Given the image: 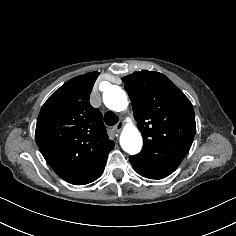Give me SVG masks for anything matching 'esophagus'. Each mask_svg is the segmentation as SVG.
Masks as SVG:
<instances>
[{
  "mask_svg": "<svg viewBox=\"0 0 236 236\" xmlns=\"http://www.w3.org/2000/svg\"><path fill=\"white\" fill-rule=\"evenodd\" d=\"M123 127H124V123L120 122L114 127V129L116 132H120L123 129Z\"/></svg>",
  "mask_w": 236,
  "mask_h": 236,
  "instance_id": "obj_1",
  "label": "esophagus"
}]
</instances>
